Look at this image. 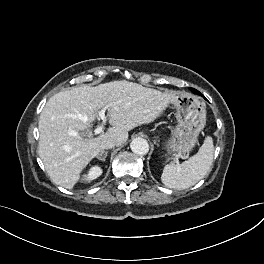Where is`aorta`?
Wrapping results in <instances>:
<instances>
[{
  "label": "aorta",
  "mask_w": 264,
  "mask_h": 264,
  "mask_svg": "<svg viewBox=\"0 0 264 264\" xmlns=\"http://www.w3.org/2000/svg\"><path fill=\"white\" fill-rule=\"evenodd\" d=\"M132 152L137 155H146L149 151V144L143 138H135L130 144Z\"/></svg>",
  "instance_id": "762f6f07"
}]
</instances>
